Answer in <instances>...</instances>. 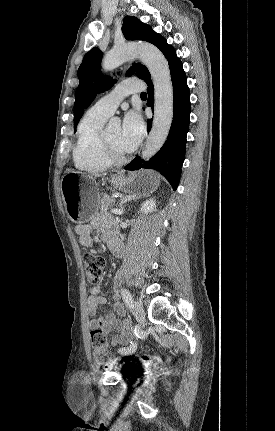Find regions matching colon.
<instances>
[{"mask_svg":"<svg viewBox=\"0 0 275 431\" xmlns=\"http://www.w3.org/2000/svg\"><path fill=\"white\" fill-rule=\"evenodd\" d=\"M83 266L86 272L87 280L91 284L98 283L104 273L105 261L104 259L94 253H86L83 256ZM90 340L93 348V354L96 362L105 368H112L118 364L128 365L131 363L129 357L122 360L112 359L108 352V342L105 332L101 329H92L90 332ZM142 361L151 364H159L161 358L159 356H142Z\"/></svg>","mask_w":275,"mask_h":431,"instance_id":"colon-1","label":"colon"}]
</instances>
